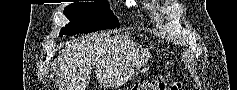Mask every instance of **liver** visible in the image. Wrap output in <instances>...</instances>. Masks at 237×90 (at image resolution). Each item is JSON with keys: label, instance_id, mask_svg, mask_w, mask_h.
Listing matches in <instances>:
<instances>
[{"label": "liver", "instance_id": "1", "mask_svg": "<svg viewBox=\"0 0 237 90\" xmlns=\"http://www.w3.org/2000/svg\"><path fill=\"white\" fill-rule=\"evenodd\" d=\"M114 54V42L108 38H91L71 44L67 42L58 58L63 90H86L92 66H103Z\"/></svg>", "mask_w": 237, "mask_h": 90}]
</instances>
